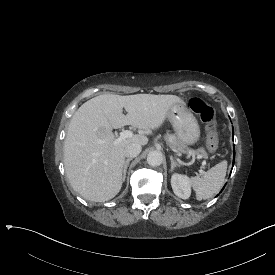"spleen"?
I'll list each match as a JSON object with an SVG mask.
<instances>
[{
  "mask_svg": "<svg viewBox=\"0 0 275 275\" xmlns=\"http://www.w3.org/2000/svg\"><path fill=\"white\" fill-rule=\"evenodd\" d=\"M227 161L216 164L202 177H192L190 183L196 192L197 200L208 199L216 195L224 184Z\"/></svg>",
  "mask_w": 275,
  "mask_h": 275,
  "instance_id": "3e777b00",
  "label": "spleen"
}]
</instances>
